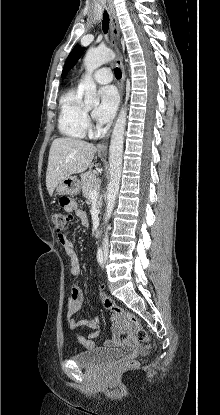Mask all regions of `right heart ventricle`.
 I'll return each mask as SVG.
<instances>
[{
	"label": "right heart ventricle",
	"mask_w": 220,
	"mask_h": 415,
	"mask_svg": "<svg viewBox=\"0 0 220 415\" xmlns=\"http://www.w3.org/2000/svg\"><path fill=\"white\" fill-rule=\"evenodd\" d=\"M59 132L69 138L82 139L89 133L86 109L77 89L67 90L59 101Z\"/></svg>",
	"instance_id": "right-heart-ventricle-1"
}]
</instances>
